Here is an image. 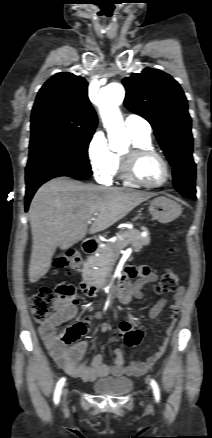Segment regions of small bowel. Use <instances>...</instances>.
Here are the masks:
<instances>
[{
    "label": "small bowel",
    "instance_id": "1",
    "mask_svg": "<svg viewBox=\"0 0 212 438\" xmlns=\"http://www.w3.org/2000/svg\"><path fill=\"white\" fill-rule=\"evenodd\" d=\"M137 278L136 282L131 285L129 279ZM158 279L157 274L147 265H129L118 288V299L123 304H128L132 299H144L145 293L143 286ZM64 285V284H61ZM59 285L58 287H60ZM183 288L179 287L176 291L173 302L169 305L171 310L170 325L165 329L167 336L171 335L173 326L183 299ZM167 301L161 298L155 302L149 311V318L155 322L157 316L166 306ZM78 315V309L73 303L60 300L57 313L54 318L46 324L39 327V332L43 338L50 354L57 364L69 375L81 378L86 382H91L107 375L113 376H139L148 371L166 350L168 339H164L158 349L145 360H132L125 364L124 356L119 348L114 350V360L112 363H105L103 355L96 354L90 363L83 360L87 351V341H79L72 345L62 341L55 332V327L59 324L68 322ZM100 313L90 315L86 318V323H92L95 319L100 318ZM113 334L121 338L127 346H133L140 343L143 338V331L132 329L128 322H121L113 328Z\"/></svg>",
    "mask_w": 212,
    "mask_h": 438
}]
</instances>
